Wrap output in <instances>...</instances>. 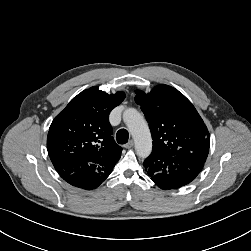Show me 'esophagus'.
<instances>
[{
    "label": "esophagus",
    "instance_id": "obj_1",
    "mask_svg": "<svg viewBox=\"0 0 251 251\" xmlns=\"http://www.w3.org/2000/svg\"><path fill=\"white\" fill-rule=\"evenodd\" d=\"M133 146H134V142L131 140V141H129L128 143H126L124 147H125L126 149H130V148H132Z\"/></svg>",
    "mask_w": 251,
    "mask_h": 251
}]
</instances>
